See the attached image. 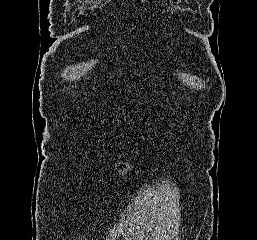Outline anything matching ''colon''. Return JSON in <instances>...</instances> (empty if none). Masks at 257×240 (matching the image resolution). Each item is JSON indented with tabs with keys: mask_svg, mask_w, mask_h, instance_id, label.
Returning a JSON list of instances; mask_svg holds the SVG:
<instances>
[{
	"mask_svg": "<svg viewBox=\"0 0 257 240\" xmlns=\"http://www.w3.org/2000/svg\"><path fill=\"white\" fill-rule=\"evenodd\" d=\"M130 231H131L130 225H126V226L122 227L120 230V237L123 239L127 238L130 234Z\"/></svg>",
	"mask_w": 257,
	"mask_h": 240,
	"instance_id": "1",
	"label": "colon"
}]
</instances>
